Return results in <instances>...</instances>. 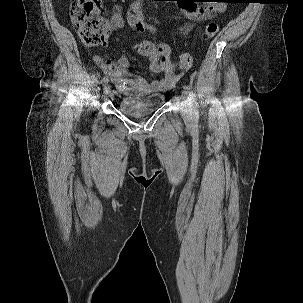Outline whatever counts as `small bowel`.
<instances>
[{
  "label": "small bowel",
  "instance_id": "small-bowel-1",
  "mask_svg": "<svg viewBox=\"0 0 303 303\" xmlns=\"http://www.w3.org/2000/svg\"><path fill=\"white\" fill-rule=\"evenodd\" d=\"M112 1L115 2V4L109 25L112 30H117L124 24L123 9L122 6L117 3V0ZM143 2L144 0H133L127 10V21L135 33L148 31L151 34H155V28L145 21ZM207 2L210 3L199 5L196 1H184L181 9L190 22L212 19L214 15L225 10V5L221 3L223 2L222 0H210ZM189 29L190 27L186 26L183 31L187 32ZM136 50L139 54L149 59L150 71L161 75L159 80H146L134 75L130 70L129 56L125 53L121 55L117 62L106 56H97L95 62L123 93H128L130 90H133L138 93L147 94L170 89L175 83L177 75L169 66L163 65L160 61L163 54L170 53L169 46L162 42L141 40L137 42Z\"/></svg>",
  "mask_w": 303,
  "mask_h": 303
}]
</instances>
